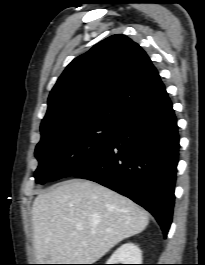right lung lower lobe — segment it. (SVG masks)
Listing matches in <instances>:
<instances>
[{
  "label": "right lung lower lobe",
  "mask_w": 205,
  "mask_h": 265,
  "mask_svg": "<svg viewBox=\"0 0 205 265\" xmlns=\"http://www.w3.org/2000/svg\"><path fill=\"white\" fill-rule=\"evenodd\" d=\"M178 153L177 120L165 91L151 106L122 120L111 142L74 176L132 199L155 217L166 237Z\"/></svg>",
  "instance_id": "obj_1"
}]
</instances>
